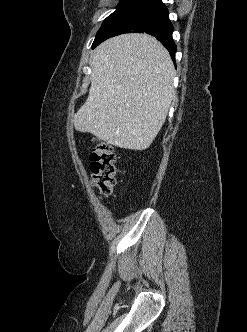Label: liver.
<instances>
[{"instance_id":"liver-1","label":"liver","mask_w":247,"mask_h":332,"mask_svg":"<svg viewBox=\"0 0 247 332\" xmlns=\"http://www.w3.org/2000/svg\"><path fill=\"white\" fill-rule=\"evenodd\" d=\"M167 49L147 34H123L93 54L91 87L74 115L76 130L119 148L147 149L161 130L174 95Z\"/></svg>"}]
</instances>
